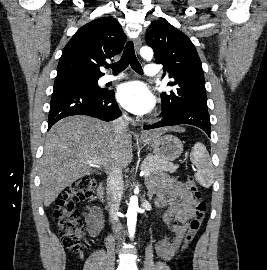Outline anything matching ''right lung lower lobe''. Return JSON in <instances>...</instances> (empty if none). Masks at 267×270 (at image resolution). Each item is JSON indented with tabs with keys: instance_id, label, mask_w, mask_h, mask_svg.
Instances as JSON below:
<instances>
[{
	"instance_id": "98d812e1",
	"label": "right lung lower lobe",
	"mask_w": 267,
	"mask_h": 270,
	"mask_svg": "<svg viewBox=\"0 0 267 270\" xmlns=\"http://www.w3.org/2000/svg\"><path fill=\"white\" fill-rule=\"evenodd\" d=\"M72 115H88L111 121L121 115L114 91L103 92L77 88L54 89L48 117V130L60 119Z\"/></svg>"
}]
</instances>
